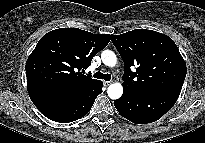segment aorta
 Instances as JSON below:
<instances>
[{
	"label": "aorta",
	"mask_w": 205,
	"mask_h": 143,
	"mask_svg": "<svg viewBox=\"0 0 205 143\" xmlns=\"http://www.w3.org/2000/svg\"><path fill=\"white\" fill-rule=\"evenodd\" d=\"M101 59L105 65L110 66V67L115 66L117 62V57L115 53L111 50H104L101 53ZM107 94L109 98L113 100L120 98L123 94V87L121 83L115 82V83L110 84L107 90Z\"/></svg>",
	"instance_id": "aorta-1"
}]
</instances>
